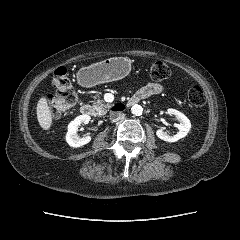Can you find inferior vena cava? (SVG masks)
Returning <instances> with one entry per match:
<instances>
[{
	"mask_svg": "<svg viewBox=\"0 0 240 240\" xmlns=\"http://www.w3.org/2000/svg\"><path fill=\"white\" fill-rule=\"evenodd\" d=\"M125 117L124 113H111L110 114V119L112 122L119 121Z\"/></svg>",
	"mask_w": 240,
	"mask_h": 240,
	"instance_id": "inferior-vena-cava-1",
	"label": "inferior vena cava"
}]
</instances>
